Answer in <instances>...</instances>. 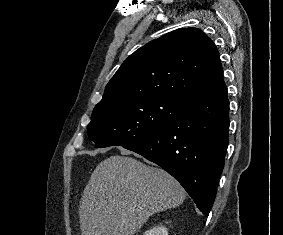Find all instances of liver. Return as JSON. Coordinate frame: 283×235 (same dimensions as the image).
<instances>
[{"instance_id": "1", "label": "liver", "mask_w": 283, "mask_h": 235, "mask_svg": "<svg viewBox=\"0 0 283 235\" xmlns=\"http://www.w3.org/2000/svg\"><path fill=\"white\" fill-rule=\"evenodd\" d=\"M103 160L93 171L79 205L82 235H134L155 213L181 205L185 191L163 169L128 157Z\"/></svg>"}]
</instances>
